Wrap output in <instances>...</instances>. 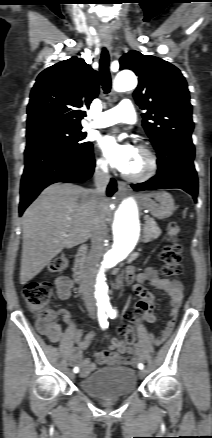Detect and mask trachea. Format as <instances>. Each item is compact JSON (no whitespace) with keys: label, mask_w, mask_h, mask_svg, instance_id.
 I'll list each match as a JSON object with an SVG mask.
<instances>
[{"label":"trachea","mask_w":212,"mask_h":438,"mask_svg":"<svg viewBox=\"0 0 212 438\" xmlns=\"http://www.w3.org/2000/svg\"><path fill=\"white\" fill-rule=\"evenodd\" d=\"M109 53L106 48L102 49L101 58H100V75H101V82H102V88L104 90L105 94H109L111 91V75L109 71Z\"/></svg>","instance_id":"3493384b"}]
</instances>
